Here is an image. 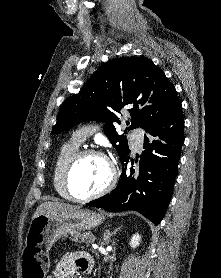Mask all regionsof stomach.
Segmentation results:
<instances>
[{"label":"stomach","instance_id":"0dacf381","mask_svg":"<svg viewBox=\"0 0 221 278\" xmlns=\"http://www.w3.org/2000/svg\"><path fill=\"white\" fill-rule=\"evenodd\" d=\"M105 220L102 213L73 209L65 213L41 214L32 219L20 261L22 278H47L50 269L48 251L69 233L90 230Z\"/></svg>","mask_w":221,"mask_h":278}]
</instances>
